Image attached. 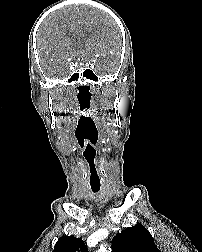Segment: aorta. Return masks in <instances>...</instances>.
<instances>
[{
    "mask_svg": "<svg viewBox=\"0 0 202 252\" xmlns=\"http://www.w3.org/2000/svg\"><path fill=\"white\" fill-rule=\"evenodd\" d=\"M97 252H109V251H107L105 247L101 246Z\"/></svg>",
    "mask_w": 202,
    "mask_h": 252,
    "instance_id": "762f6f07",
    "label": "aorta"
}]
</instances>
